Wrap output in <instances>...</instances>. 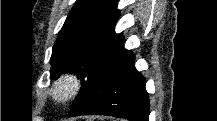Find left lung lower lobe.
<instances>
[{
  "instance_id": "0a47b994",
  "label": "left lung lower lobe",
  "mask_w": 217,
  "mask_h": 121,
  "mask_svg": "<svg viewBox=\"0 0 217 121\" xmlns=\"http://www.w3.org/2000/svg\"><path fill=\"white\" fill-rule=\"evenodd\" d=\"M124 41L85 89L69 117L110 115L131 121H148L149 97L145 79L134 66V54Z\"/></svg>"
}]
</instances>
